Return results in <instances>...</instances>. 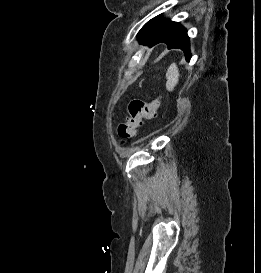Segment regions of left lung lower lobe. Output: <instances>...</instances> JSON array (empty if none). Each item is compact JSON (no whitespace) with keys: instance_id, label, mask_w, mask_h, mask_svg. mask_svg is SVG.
<instances>
[{"instance_id":"obj_1","label":"left lung lower lobe","mask_w":261,"mask_h":273,"mask_svg":"<svg viewBox=\"0 0 261 273\" xmlns=\"http://www.w3.org/2000/svg\"><path fill=\"white\" fill-rule=\"evenodd\" d=\"M138 40L152 47L160 42L168 45V49H181L186 60H190V43L186 29L177 22L161 19L157 16L148 21L139 31Z\"/></svg>"}]
</instances>
